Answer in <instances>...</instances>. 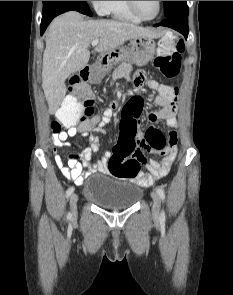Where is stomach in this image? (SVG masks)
I'll return each instance as SVG.
<instances>
[{
    "label": "stomach",
    "instance_id": "1",
    "mask_svg": "<svg viewBox=\"0 0 233 295\" xmlns=\"http://www.w3.org/2000/svg\"><path fill=\"white\" fill-rule=\"evenodd\" d=\"M114 56L107 60L106 65H100L97 72L91 76L92 81H100L105 72L108 71L114 63L126 60L137 66H144L154 58L156 53V44L152 38L149 37H136L131 39L128 47L119 48L114 50Z\"/></svg>",
    "mask_w": 233,
    "mask_h": 295
}]
</instances>
